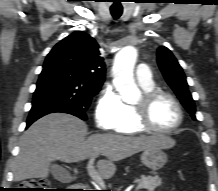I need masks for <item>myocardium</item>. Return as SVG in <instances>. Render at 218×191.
I'll return each mask as SVG.
<instances>
[{
    "label": "myocardium",
    "instance_id": "myocardium-1",
    "mask_svg": "<svg viewBox=\"0 0 218 191\" xmlns=\"http://www.w3.org/2000/svg\"><path fill=\"white\" fill-rule=\"evenodd\" d=\"M160 97L168 98L176 107L178 111V122L175 126L168 129H160L154 126L150 111L153 103L156 99ZM136 121L138 125L145 131H150L158 134H172L176 132L183 124L184 121V111L181 103L178 99L170 94L169 92L160 89H151L144 91L140 102L134 105Z\"/></svg>",
    "mask_w": 218,
    "mask_h": 191
}]
</instances>
